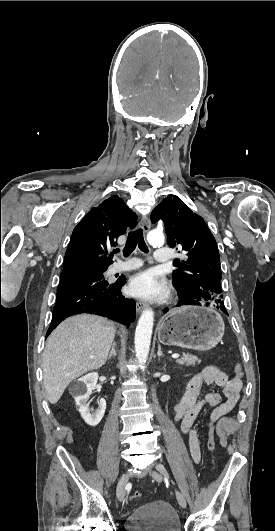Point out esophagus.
Here are the masks:
<instances>
[{"mask_svg":"<svg viewBox=\"0 0 275 531\" xmlns=\"http://www.w3.org/2000/svg\"><path fill=\"white\" fill-rule=\"evenodd\" d=\"M150 227H151V223H150L149 218L147 216H143V218L140 221V228H142V230L147 233L149 231ZM146 307H147V303L146 302H144V301H137L136 302V309H137L138 312L142 311Z\"/></svg>","mask_w":275,"mask_h":531,"instance_id":"34e87169","label":"esophagus"}]
</instances>
